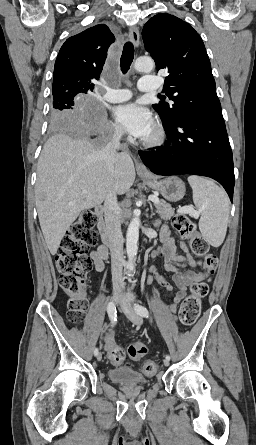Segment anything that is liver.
<instances>
[{
  "mask_svg": "<svg viewBox=\"0 0 256 445\" xmlns=\"http://www.w3.org/2000/svg\"><path fill=\"white\" fill-rule=\"evenodd\" d=\"M103 149L88 138L61 133L44 144L35 196L41 230L52 255L81 212L101 205L110 190L122 195L134 183L136 173L129 154H117L114 166L108 168Z\"/></svg>",
  "mask_w": 256,
  "mask_h": 445,
  "instance_id": "liver-1",
  "label": "liver"
}]
</instances>
